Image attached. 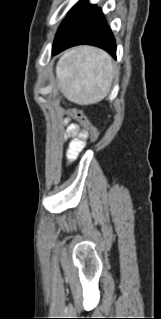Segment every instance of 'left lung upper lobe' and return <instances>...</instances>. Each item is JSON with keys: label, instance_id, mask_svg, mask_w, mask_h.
<instances>
[{"label": "left lung upper lobe", "instance_id": "1", "mask_svg": "<svg viewBox=\"0 0 161 319\" xmlns=\"http://www.w3.org/2000/svg\"><path fill=\"white\" fill-rule=\"evenodd\" d=\"M94 8L95 5H91L87 2H80L75 5L60 25L54 42L62 39L65 35H67Z\"/></svg>", "mask_w": 161, "mask_h": 319}]
</instances>
